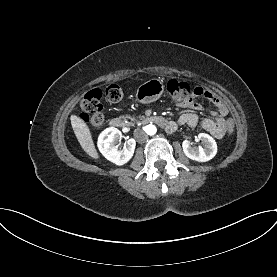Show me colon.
I'll use <instances>...</instances> for the list:
<instances>
[{
  "label": "colon",
  "instance_id": "5ec220e1",
  "mask_svg": "<svg viewBox=\"0 0 277 277\" xmlns=\"http://www.w3.org/2000/svg\"><path fill=\"white\" fill-rule=\"evenodd\" d=\"M167 91L171 99L178 103L187 101L192 98L194 91H191L189 84L178 79H171L167 83ZM123 90L118 85H110L104 91L93 89L89 91L80 103V118L91 126H100L104 122V113L101 100L105 97L109 102H119L123 97ZM236 127V119L227 117L225 128V138L228 141L233 140Z\"/></svg>",
  "mask_w": 277,
  "mask_h": 277
}]
</instances>
